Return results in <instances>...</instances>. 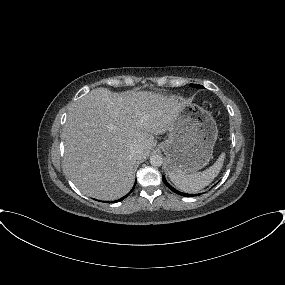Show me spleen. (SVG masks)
I'll list each match as a JSON object with an SVG mask.
<instances>
[{
	"instance_id": "spleen-1",
	"label": "spleen",
	"mask_w": 285,
	"mask_h": 285,
	"mask_svg": "<svg viewBox=\"0 0 285 285\" xmlns=\"http://www.w3.org/2000/svg\"><path fill=\"white\" fill-rule=\"evenodd\" d=\"M224 159L225 153H222L217 161L203 172L191 174L169 172L168 175L178 189L187 193H197L217 177L223 166Z\"/></svg>"
}]
</instances>
